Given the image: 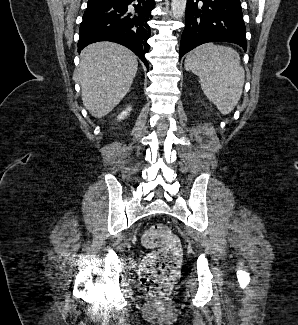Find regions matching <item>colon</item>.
Returning <instances> with one entry per match:
<instances>
[{
	"instance_id": "colon-1",
	"label": "colon",
	"mask_w": 298,
	"mask_h": 325,
	"mask_svg": "<svg viewBox=\"0 0 298 325\" xmlns=\"http://www.w3.org/2000/svg\"><path fill=\"white\" fill-rule=\"evenodd\" d=\"M142 243L151 251L140 266V281L153 296L164 299L178 278L182 247L178 237L165 224L145 231Z\"/></svg>"
}]
</instances>
